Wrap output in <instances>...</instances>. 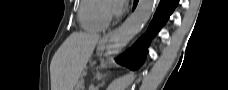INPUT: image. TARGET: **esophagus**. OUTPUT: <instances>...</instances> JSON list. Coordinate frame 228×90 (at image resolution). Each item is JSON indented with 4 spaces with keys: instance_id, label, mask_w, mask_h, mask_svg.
Masks as SVG:
<instances>
[{
    "instance_id": "obj_1",
    "label": "esophagus",
    "mask_w": 228,
    "mask_h": 90,
    "mask_svg": "<svg viewBox=\"0 0 228 90\" xmlns=\"http://www.w3.org/2000/svg\"><path fill=\"white\" fill-rule=\"evenodd\" d=\"M115 31H111V32H108L107 34H105L102 39H101V43H105L109 40V38L114 34Z\"/></svg>"
}]
</instances>
